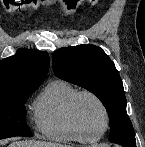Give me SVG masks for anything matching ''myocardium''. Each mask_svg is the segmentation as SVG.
Here are the masks:
<instances>
[{
    "mask_svg": "<svg viewBox=\"0 0 145 147\" xmlns=\"http://www.w3.org/2000/svg\"><path fill=\"white\" fill-rule=\"evenodd\" d=\"M83 96H88V97L92 98L100 106V108L103 111L104 119H105L104 128L98 134L89 135L86 131H84V129L82 128L81 123L79 121V118L77 115V102ZM69 116H70V120L73 123L75 129L80 134H83L84 136H86V138L89 141H94V140L100 139L107 132V130L109 129V126H110V113H109V110H108L106 104L97 94H95L94 92L88 91V90L78 91L72 97V99L69 103Z\"/></svg>",
    "mask_w": 145,
    "mask_h": 147,
    "instance_id": "myocardium-1",
    "label": "myocardium"
}]
</instances>
